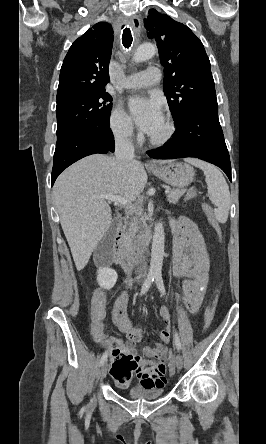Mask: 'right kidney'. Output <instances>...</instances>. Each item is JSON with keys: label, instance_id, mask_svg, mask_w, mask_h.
I'll list each match as a JSON object with an SVG mask.
<instances>
[{"label": "right kidney", "instance_id": "right-kidney-1", "mask_svg": "<svg viewBox=\"0 0 266 444\" xmlns=\"http://www.w3.org/2000/svg\"><path fill=\"white\" fill-rule=\"evenodd\" d=\"M117 273L109 267H101L97 271V282L104 289H111L117 281Z\"/></svg>", "mask_w": 266, "mask_h": 444}]
</instances>
